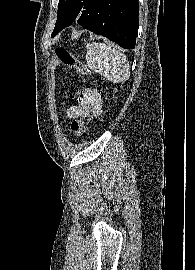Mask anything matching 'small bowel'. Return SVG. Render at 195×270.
<instances>
[{"mask_svg":"<svg viewBox=\"0 0 195 270\" xmlns=\"http://www.w3.org/2000/svg\"><path fill=\"white\" fill-rule=\"evenodd\" d=\"M101 96L95 89H85L79 95V103L71 106L66 114L71 119L87 117L90 113L99 114Z\"/></svg>","mask_w":195,"mask_h":270,"instance_id":"obj_1","label":"small bowel"}]
</instances>
